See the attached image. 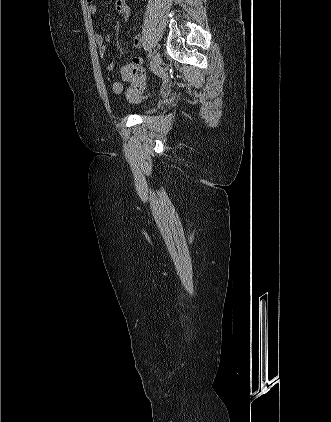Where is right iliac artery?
<instances>
[{
  "mask_svg": "<svg viewBox=\"0 0 331 422\" xmlns=\"http://www.w3.org/2000/svg\"><path fill=\"white\" fill-rule=\"evenodd\" d=\"M148 61L150 63L153 61V52H152V50H149V52H148Z\"/></svg>",
  "mask_w": 331,
  "mask_h": 422,
  "instance_id": "obj_1",
  "label": "right iliac artery"
}]
</instances>
